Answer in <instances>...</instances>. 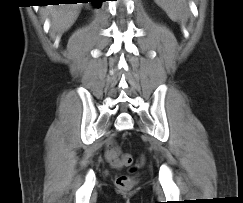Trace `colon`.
I'll return each mask as SVG.
<instances>
[{"mask_svg": "<svg viewBox=\"0 0 243 203\" xmlns=\"http://www.w3.org/2000/svg\"><path fill=\"white\" fill-rule=\"evenodd\" d=\"M111 156L112 160L121 166H129L132 163L130 155L119 153L117 150H113ZM116 185L121 190L129 191L134 187L135 181L130 175H120L116 179Z\"/></svg>", "mask_w": 243, "mask_h": 203, "instance_id": "5ec220e1", "label": "colon"}]
</instances>
